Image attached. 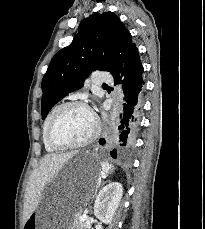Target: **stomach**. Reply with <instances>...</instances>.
Masks as SVG:
<instances>
[{"mask_svg": "<svg viewBox=\"0 0 205 229\" xmlns=\"http://www.w3.org/2000/svg\"><path fill=\"white\" fill-rule=\"evenodd\" d=\"M100 171L93 153L76 154L45 192L23 229H74V220L91 195Z\"/></svg>", "mask_w": 205, "mask_h": 229, "instance_id": "stomach-1", "label": "stomach"}]
</instances>
